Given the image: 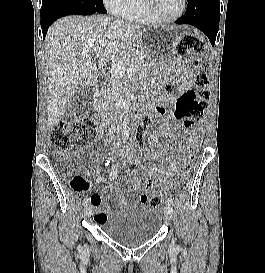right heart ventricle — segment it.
<instances>
[{"instance_id":"right-heart-ventricle-1","label":"right heart ventricle","mask_w":265,"mask_h":273,"mask_svg":"<svg viewBox=\"0 0 265 273\" xmlns=\"http://www.w3.org/2000/svg\"><path fill=\"white\" fill-rule=\"evenodd\" d=\"M126 19L136 21L142 24L154 23L143 7L142 0H133L131 6L122 14Z\"/></svg>"}]
</instances>
